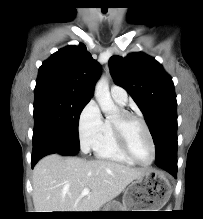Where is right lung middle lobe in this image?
<instances>
[{
    "instance_id": "1",
    "label": "right lung middle lobe",
    "mask_w": 203,
    "mask_h": 219,
    "mask_svg": "<svg viewBox=\"0 0 203 219\" xmlns=\"http://www.w3.org/2000/svg\"><path fill=\"white\" fill-rule=\"evenodd\" d=\"M34 94L33 145L48 144L49 154H77L79 117L89 100L54 88H35Z\"/></svg>"
}]
</instances>
